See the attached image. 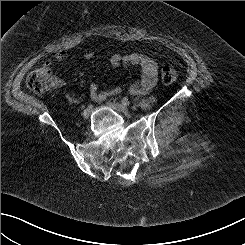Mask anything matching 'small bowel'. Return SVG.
<instances>
[{
    "label": "small bowel",
    "mask_w": 245,
    "mask_h": 245,
    "mask_svg": "<svg viewBox=\"0 0 245 245\" xmlns=\"http://www.w3.org/2000/svg\"><path fill=\"white\" fill-rule=\"evenodd\" d=\"M93 54L91 52H86L85 57L87 59L92 58ZM67 53L64 51L58 52L55 55V60L60 62L65 60ZM110 62L114 66L123 64L127 67L138 66L141 70V78L138 82L131 84L128 87V93L131 95H142L147 94L154 88L157 75H158V64L149 56L140 54V53H130L125 55H120L114 53L110 56ZM45 66H50V61H45ZM90 96L93 100L97 102H103L107 98L118 94L121 91L120 87H114L112 89L99 91L98 86L95 83H91L90 87Z\"/></svg>",
    "instance_id": "1"
}]
</instances>
